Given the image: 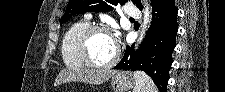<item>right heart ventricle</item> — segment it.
I'll return each mask as SVG.
<instances>
[{
	"label": "right heart ventricle",
	"instance_id": "1",
	"mask_svg": "<svg viewBox=\"0 0 225 92\" xmlns=\"http://www.w3.org/2000/svg\"><path fill=\"white\" fill-rule=\"evenodd\" d=\"M88 26L89 21L84 18L75 21L65 30L61 41L60 53L62 61L66 66L76 69L84 67L75 52L74 44L77 36Z\"/></svg>",
	"mask_w": 225,
	"mask_h": 92
}]
</instances>
